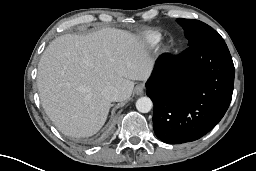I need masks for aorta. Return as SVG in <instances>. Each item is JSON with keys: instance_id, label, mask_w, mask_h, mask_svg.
Segmentation results:
<instances>
[{"instance_id": "762f6f07", "label": "aorta", "mask_w": 256, "mask_h": 171, "mask_svg": "<svg viewBox=\"0 0 256 171\" xmlns=\"http://www.w3.org/2000/svg\"><path fill=\"white\" fill-rule=\"evenodd\" d=\"M153 103L149 97H141L136 101V109L141 113H148Z\"/></svg>"}]
</instances>
